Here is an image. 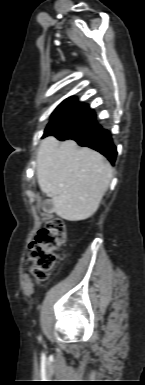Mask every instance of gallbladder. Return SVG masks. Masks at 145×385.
Instances as JSON below:
<instances>
[{
  "label": "gallbladder",
  "instance_id": "1",
  "mask_svg": "<svg viewBox=\"0 0 145 385\" xmlns=\"http://www.w3.org/2000/svg\"><path fill=\"white\" fill-rule=\"evenodd\" d=\"M43 211L46 213H52L54 211V206L51 201L46 200L42 205Z\"/></svg>",
  "mask_w": 145,
  "mask_h": 385
}]
</instances>
